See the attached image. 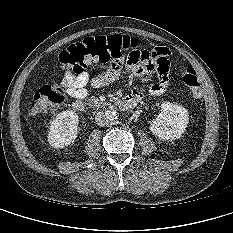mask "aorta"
Masks as SVG:
<instances>
[{"instance_id":"obj_1","label":"aorta","mask_w":233,"mask_h":233,"mask_svg":"<svg viewBox=\"0 0 233 233\" xmlns=\"http://www.w3.org/2000/svg\"><path fill=\"white\" fill-rule=\"evenodd\" d=\"M109 123H113L118 119V112L114 109L107 110L105 113Z\"/></svg>"}]
</instances>
